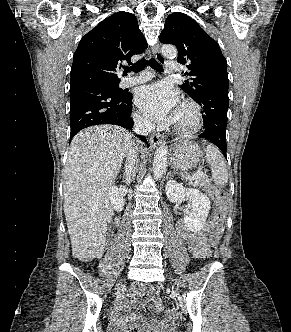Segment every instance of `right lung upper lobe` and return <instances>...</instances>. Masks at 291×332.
Instances as JSON below:
<instances>
[{
    "label": "right lung upper lobe",
    "instance_id": "obj_1",
    "mask_svg": "<svg viewBox=\"0 0 291 332\" xmlns=\"http://www.w3.org/2000/svg\"><path fill=\"white\" fill-rule=\"evenodd\" d=\"M147 46L133 14L111 15L81 39L73 57L70 90L97 81H120L117 72L122 63L131 64V57Z\"/></svg>",
    "mask_w": 291,
    "mask_h": 332
}]
</instances>
